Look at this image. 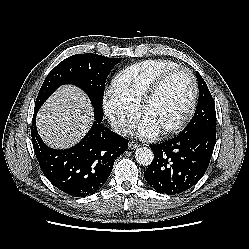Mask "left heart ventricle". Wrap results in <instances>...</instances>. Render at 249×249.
Listing matches in <instances>:
<instances>
[{
  "instance_id": "left-heart-ventricle-1",
  "label": "left heart ventricle",
  "mask_w": 249,
  "mask_h": 249,
  "mask_svg": "<svg viewBox=\"0 0 249 249\" xmlns=\"http://www.w3.org/2000/svg\"><path fill=\"white\" fill-rule=\"evenodd\" d=\"M191 83L187 72L172 74L162 85L154 100L147 107L143 119L159 130L176 122L188 106Z\"/></svg>"
}]
</instances>
